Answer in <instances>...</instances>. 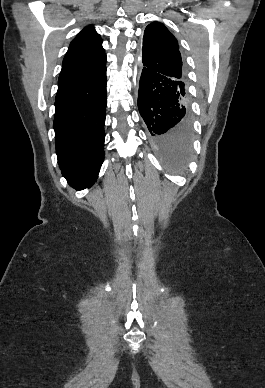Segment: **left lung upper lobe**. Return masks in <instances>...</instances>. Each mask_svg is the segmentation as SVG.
<instances>
[{
    "label": "left lung upper lobe",
    "instance_id": "1",
    "mask_svg": "<svg viewBox=\"0 0 265 388\" xmlns=\"http://www.w3.org/2000/svg\"><path fill=\"white\" fill-rule=\"evenodd\" d=\"M143 67L161 73L181 83L184 101L189 97L186 85V72L182 64L179 45L173 34L159 22L149 24L143 36Z\"/></svg>",
    "mask_w": 265,
    "mask_h": 388
}]
</instances>
